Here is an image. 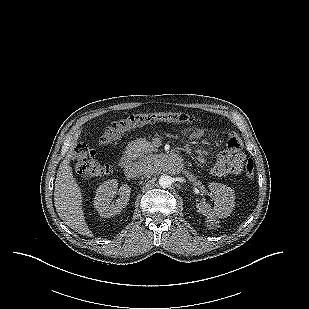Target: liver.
I'll return each instance as SVG.
<instances>
[{
  "instance_id": "1",
  "label": "liver",
  "mask_w": 309,
  "mask_h": 309,
  "mask_svg": "<svg viewBox=\"0 0 309 309\" xmlns=\"http://www.w3.org/2000/svg\"><path fill=\"white\" fill-rule=\"evenodd\" d=\"M79 133L75 134L71 150L76 146ZM70 156H67L59 166L54 189V204L59 217L74 231L81 235L92 237L83 209L82 194L72 169L69 165Z\"/></svg>"
}]
</instances>
